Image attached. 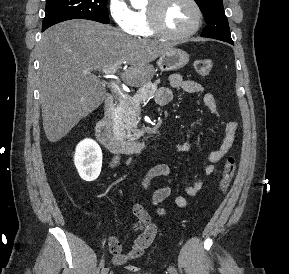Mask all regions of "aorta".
<instances>
[{
  "instance_id": "aorta-1",
  "label": "aorta",
  "mask_w": 289,
  "mask_h": 274,
  "mask_svg": "<svg viewBox=\"0 0 289 274\" xmlns=\"http://www.w3.org/2000/svg\"><path fill=\"white\" fill-rule=\"evenodd\" d=\"M145 2L146 0H131V4L136 8L144 6Z\"/></svg>"
}]
</instances>
